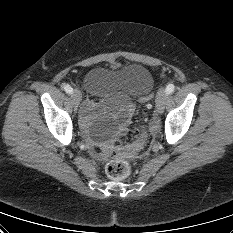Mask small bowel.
Returning a JSON list of instances; mask_svg holds the SVG:
<instances>
[{"mask_svg": "<svg viewBox=\"0 0 233 233\" xmlns=\"http://www.w3.org/2000/svg\"><path fill=\"white\" fill-rule=\"evenodd\" d=\"M96 110V104L92 101H87L83 107L82 122L87 125L90 122V118Z\"/></svg>", "mask_w": 233, "mask_h": 233, "instance_id": "obj_1", "label": "small bowel"}]
</instances>
